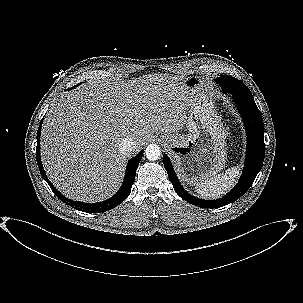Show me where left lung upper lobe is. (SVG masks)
Masks as SVG:
<instances>
[{
    "instance_id": "5c2ea615",
    "label": "left lung upper lobe",
    "mask_w": 303,
    "mask_h": 303,
    "mask_svg": "<svg viewBox=\"0 0 303 303\" xmlns=\"http://www.w3.org/2000/svg\"><path fill=\"white\" fill-rule=\"evenodd\" d=\"M226 81H233L236 83V85L239 86V88L242 90V92L246 95H252L250 90L246 87V85L244 83H242L241 81L233 78V77H230V76H221L219 78L216 79V83L219 84L220 86L223 85V82H226Z\"/></svg>"
}]
</instances>
